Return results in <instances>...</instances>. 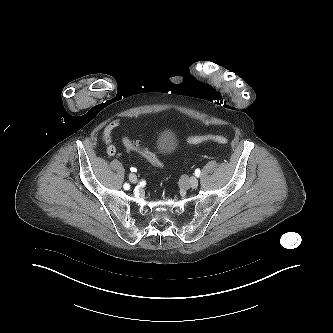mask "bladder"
<instances>
[{"instance_id": "obj_1", "label": "bladder", "mask_w": 333, "mask_h": 333, "mask_svg": "<svg viewBox=\"0 0 333 333\" xmlns=\"http://www.w3.org/2000/svg\"><path fill=\"white\" fill-rule=\"evenodd\" d=\"M177 147L176 136L170 131L161 132L156 140V152L166 157L171 155Z\"/></svg>"}]
</instances>
